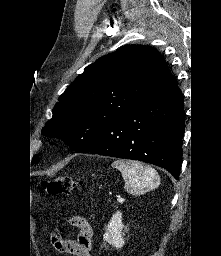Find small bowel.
I'll return each instance as SVG.
<instances>
[{"mask_svg": "<svg viewBox=\"0 0 221 256\" xmlns=\"http://www.w3.org/2000/svg\"><path fill=\"white\" fill-rule=\"evenodd\" d=\"M72 224L81 229L77 240H62L57 235L53 236L56 248L69 256H92V229L88 222L81 217H73Z\"/></svg>", "mask_w": 221, "mask_h": 256, "instance_id": "1", "label": "small bowel"}]
</instances>
